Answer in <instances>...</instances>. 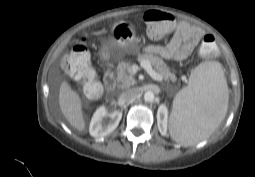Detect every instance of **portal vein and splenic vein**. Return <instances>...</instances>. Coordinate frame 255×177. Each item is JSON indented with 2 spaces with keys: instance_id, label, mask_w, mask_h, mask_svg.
Returning a JSON list of instances; mask_svg holds the SVG:
<instances>
[{
  "instance_id": "18ae733b",
  "label": "portal vein and splenic vein",
  "mask_w": 255,
  "mask_h": 177,
  "mask_svg": "<svg viewBox=\"0 0 255 177\" xmlns=\"http://www.w3.org/2000/svg\"><path fill=\"white\" fill-rule=\"evenodd\" d=\"M140 66L144 68L147 73L156 81H162L163 78L161 75H159L155 70L152 69L151 63L147 60L140 61ZM132 72L135 73L136 70L132 69Z\"/></svg>"
}]
</instances>
